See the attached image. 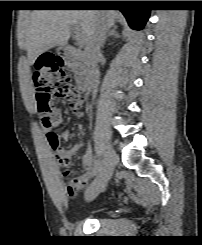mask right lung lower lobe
I'll return each mask as SVG.
<instances>
[{
    "label": "right lung lower lobe",
    "instance_id": "98d812e1",
    "mask_svg": "<svg viewBox=\"0 0 202 245\" xmlns=\"http://www.w3.org/2000/svg\"><path fill=\"white\" fill-rule=\"evenodd\" d=\"M79 5L82 7H117L134 30L143 29L150 15V10L139 1H81Z\"/></svg>",
    "mask_w": 202,
    "mask_h": 245
}]
</instances>
